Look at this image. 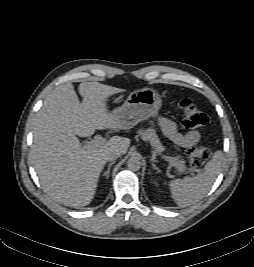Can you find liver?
Wrapping results in <instances>:
<instances>
[{
    "instance_id": "6515ba94",
    "label": "liver",
    "mask_w": 254,
    "mask_h": 267,
    "mask_svg": "<svg viewBox=\"0 0 254 267\" xmlns=\"http://www.w3.org/2000/svg\"><path fill=\"white\" fill-rule=\"evenodd\" d=\"M78 91L82 103L71 83L59 85L47 95L34 119L30 151L45 192L58 203L74 208L91 203L108 154H125L130 146V139L120 136L97 147L81 145L77 136L90 137L95 130L124 129L110 114L107 100L125 90L83 82Z\"/></svg>"
}]
</instances>
